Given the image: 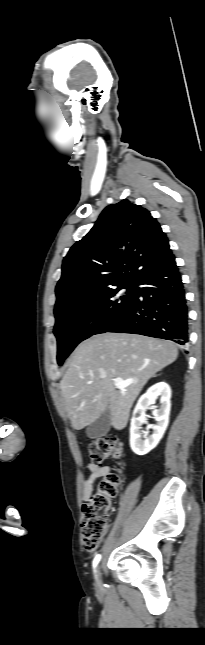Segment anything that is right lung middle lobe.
Here are the masks:
<instances>
[{
	"label": "right lung middle lobe",
	"instance_id": "1",
	"mask_svg": "<svg viewBox=\"0 0 205 645\" xmlns=\"http://www.w3.org/2000/svg\"><path fill=\"white\" fill-rule=\"evenodd\" d=\"M127 289L126 295L120 293ZM133 285L125 284L106 291L84 296L55 314L54 334L58 342L57 361L66 357L81 341L102 333L111 326L131 304Z\"/></svg>",
	"mask_w": 205,
	"mask_h": 645
}]
</instances>
